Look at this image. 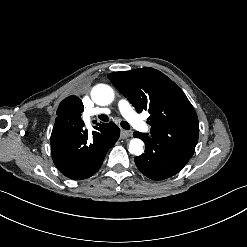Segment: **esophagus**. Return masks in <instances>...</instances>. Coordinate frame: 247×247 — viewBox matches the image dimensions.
Returning a JSON list of instances; mask_svg holds the SVG:
<instances>
[{
    "label": "esophagus",
    "mask_w": 247,
    "mask_h": 247,
    "mask_svg": "<svg viewBox=\"0 0 247 247\" xmlns=\"http://www.w3.org/2000/svg\"><path fill=\"white\" fill-rule=\"evenodd\" d=\"M130 136V132L129 131H126V130H121V135H120V138L121 139H126Z\"/></svg>",
    "instance_id": "esophagus-1"
}]
</instances>
